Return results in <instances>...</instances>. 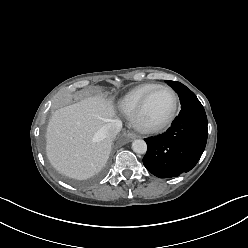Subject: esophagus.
<instances>
[{
    "label": "esophagus",
    "instance_id": "1",
    "mask_svg": "<svg viewBox=\"0 0 248 248\" xmlns=\"http://www.w3.org/2000/svg\"><path fill=\"white\" fill-rule=\"evenodd\" d=\"M127 136H128V138H130V139H135V138L138 137V136H137L135 133H133V132H128V133H127Z\"/></svg>",
    "mask_w": 248,
    "mask_h": 248
}]
</instances>
